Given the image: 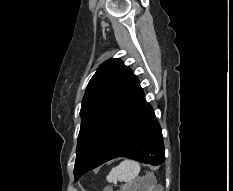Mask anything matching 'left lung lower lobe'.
I'll list each match as a JSON object with an SVG mask.
<instances>
[{
	"mask_svg": "<svg viewBox=\"0 0 233 191\" xmlns=\"http://www.w3.org/2000/svg\"><path fill=\"white\" fill-rule=\"evenodd\" d=\"M127 157L146 164L159 165L165 160L161 127L138 84L104 129L87 160L74 175L84 173L117 158Z\"/></svg>",
	"mask_w": 233,
	"mask_h": 191,
	"instance_id": "left-lung-lower-lobe-1",
	"label": "left lung lower lobe"
}]
</instances>
